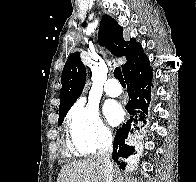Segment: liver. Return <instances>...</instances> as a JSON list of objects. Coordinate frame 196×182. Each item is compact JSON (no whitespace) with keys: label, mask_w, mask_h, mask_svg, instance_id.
<instances>
[{"label":"liver","mask_w":196,"mask_h":182,"mask_svg":"<svg viewBox=\"0 0 196 182\" xmlns=\"http://www.w3.org/2000/svg\"><path fill=\"white\" fill-rule=\"evenodd\" d=\"M57 182H105L103 164L93 156L69 163L61 168Z\"/></svg>","instance_id":"obj_1"}]
</instances>
